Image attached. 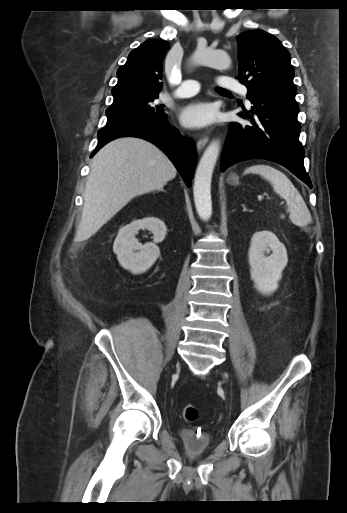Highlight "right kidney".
<instances>
[{
    "instance_id": "obj_1",
    "label": "right kidney",
    "mask_w": 347,
    "mask_h": 513,
    "mask_svg": "<svg viewBox=\"0 0 347 513\" xmlns=\"http://www.w3.org/2000/svg\"><path fill=\"white\" fill-rule=\"evenodd\" d=\"M140 229H147L153 234V242L144 245L139 243L135 235ZM166 225L155 217L134 220L122 227L114 241L113 252L117 255L120 265L133 274L148 270L160 255L157 243L164 240Z\"/></svg>"
}]
</instances>
